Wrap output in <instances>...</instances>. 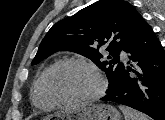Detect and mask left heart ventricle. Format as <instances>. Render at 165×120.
<instances>
[{
    "label": "left heart ventricle",
    "mask_w": 165,
    "mask_h": 120,
    "mask_svg": "<svg viewBox=\"0 0 165 120\" xmlns=\"http://www.w3.org/2000/svg\"><path fill=\"white\" fill-rule=\"evenodd\" d=\"M51 85L58 96L73 99L93 93L98 87V80L87 67L69 64L54 73Z\"/></svg>",
    "instance_id": "obj_1"
}]
</instances>
